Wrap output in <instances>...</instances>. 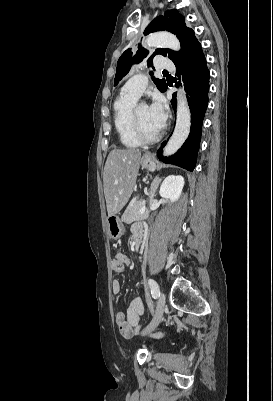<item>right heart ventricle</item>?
I'll list each match as a JSON object with an SVG mask.
<instances>
[{"label": "right heart ventricle", "instance_id": "right-heart-ventricle-1", "mask_svg": "<svg viewBox=\"0 0 273 401\" xmlns=\"http://www.w3.org/2000/svg\"><path fill=\"white\" fill-rule=\"evenodd\" d=\"M137 101V97L121 93L113 103L114 126L121 143L128 148H137L143 145L132 129L131 111Z\"/></svg>", "mask_w": 273, "mask_h": 401}]
</instances>
